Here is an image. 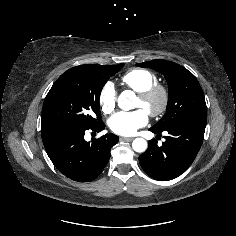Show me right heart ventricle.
Instances as JSON below:
<instances>
[{"label": "right heart ventricle", "instance_id": "1", "mask_svg": "<svg viewBox=\"0 0 236 236\" xmlns=\"http://www.w3.org/2000/svg\"><path fill=\"white\" fill-rule=\"evenodd\" d=\"M121 82L127 88L140 93L156 84V74L147 69H132L121 77Z\"/></svg>", "mask_w": 236, "mask_h": 236}]
</instances>
